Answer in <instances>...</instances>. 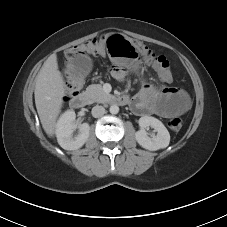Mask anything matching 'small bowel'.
<instances>
[{
	"instance_id": "obj_1",
	"label": "small bowel",
	"mask_w": 227,
	"mask_h": 227,
	"mask_svg": "<svg viewBox=\"0 0 227 227\" xmlns=\"http://www.w3.org/2000/svg\"><path fill=\"white\" fill-rule=\"evenodd\" d=\"M90 69L89 58L83 53H76L63 66L62 75L67 81L80 84L86 79ZM128 73L140 75L139 63L135 61L114 63L111 74L116 80L124 82ZM189 105V97L182 89L176 87L158 88L146 81L141 82L139 91L131 100L135 114H156L166 118L184 113Z\"/></svg>"
}]
</instances>
